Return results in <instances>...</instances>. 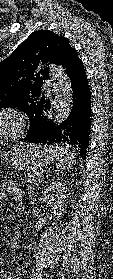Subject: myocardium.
<instances>
[{
    "mask_svg": "<svg viewBox=\"0 0 113 279\" xmlns=\"http://www.w3.org/2000/svg\"><path fill=\"white\" fill-rule=\"evenodd\" d=\"M8 120L9 126L0 132V140H8L23 134L26 123L23 114L16 108L4 107L0 109V121Z\"/></svg>",
    "mask_w": 113,
    "mask_h": 279,
    "instance_id": "myocardium-1",
    "label": "myocardium"
}]
</instances>
